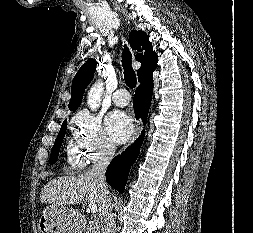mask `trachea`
<instances>
[{
	"label": "trachea",
	"mask_w": 253,
	"mask_h": 233,
	"mask_svg": "<svg viewBox=\"0 0 253 233\" xmlns=\"http://www.w3.org/2000/svg\"><path fill=\"white\" fill-rule=\"evenodd\" d=\"M132 56L128 48H124L122 53V66L124 69V80L126 85L129 88H134L136 86V74L135 71L132 69Z\"/></svg>",
	"instance_id": "1"
}]
</instances>
